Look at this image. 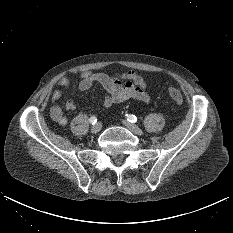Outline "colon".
Returning a JSON list of instances; mask_svg holds the SVG:
<instances>
[{
	"mask_svg": "<svg viewBox=\"0 0 233 233\" xmlns=\"http://www.w3.org/2000/svg\"><path fill=\"white\" fill-rule=\"evenodd\" d=\"M169 96L171 97V99L178 105H181L184 101V97L182 95V93L180 92V90L176 89V88H170L168 90Z\"/></svg>",
	"mask_w": 233,
	"mask_h": 233,
	"instance_id": "1",
	"label": "colon"
}]
</instances>
